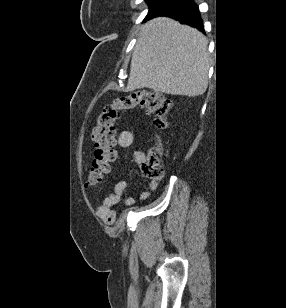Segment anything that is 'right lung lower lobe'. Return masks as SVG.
Instances as JSON below:
<instances>
[{
    "label": "right lung lower lobe",
    "instance_id": "right-lung-lower-lobe-1",
    "mask_svg": "<svg viewBox=\"0 0 286 308\" xmlns=\"http://www.w3.org/2000/svg\"><path fill=\"white\" fill-rule=\"evenodd\" d=\"M157 16L174 18L181 23L194 26L204 32L198 6L193 2V0H172L164 8L148 14L145 20Z\"/></svg>",
    "mask_w": 286,
    "mask_h": 308
}]
</instances>
